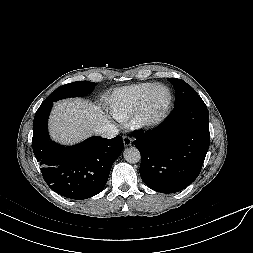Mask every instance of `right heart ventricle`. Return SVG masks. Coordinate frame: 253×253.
Returning <instances> with one entry per match:
<instances>
[{"mask_svg":"<svg viewBox=\"0 0 253 253\" xmlns=\"http://www.w3.org/2000/svg\"><path fill=\"white\" fill-rule=\"evenodd\" d=\"M154 85L155 84L151 82H144L114 90L107 99L112 116L122 123L131 121L144 95Z\"/></svg>","mask_w":253,"mask_h":253,"instance_id":"1","label":"right heart ventricle"}]
</instances>
